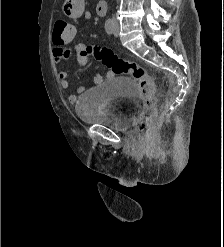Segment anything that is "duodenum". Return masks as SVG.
I'll use <instances>...</instances> for the list:
<instances>
[{
	"label": "duodenum",
	"mask_w": 224,
	"mask_h": 247,
	"mask_svg": "<svg viewBox=\"0 0 224 247\" xmlns=\"http://www.w3.org/2000/svg\"><path fill=\"white\" fill-rule=\"evenodd\" d=\"M107 10L106 0H98L96 4V12L99 16H104Z\"/></svg>",
	"instance_id": "410a0bca"
}]
</instances>
